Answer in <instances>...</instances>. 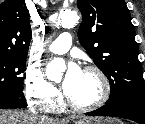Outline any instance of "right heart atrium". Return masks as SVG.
<instances>
[{"mask_svg": "<svg viewBox=\"0 0 145 124\" xmlns=\"http://www.w3.org/2000/svg\"><path fill=\"white\" fill-rule=\"evenodd\" d=\"M24 88L25 95L32 105L45 112H55L59 109L61 103L59 91L45 79L38 68L26 69Z\"/></svg>", "mask_w": 145, "mask_h": 124, "instance_id": "obj_1", "label": "right heart atrium"}]
</instances>
